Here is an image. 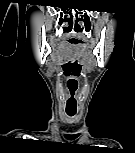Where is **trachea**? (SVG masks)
Segmentation results:
<instances>
[{
  "instance_id": "3493384b",
  "label": "trachea",
  "mask_w": 135,
  "mask_h": 153,
  "mask_svg": "<svg viewBox=\"0 0 135 153\" xmlns=\"http://www.w3.org/2000/svg\"><path fill=\"white\" fill-rule=\"evenodd\" d=\"M75 113H76V112H71V111L69 112V111H67V114H68L69 116H71V117L74 116Z\"/></svg>"
}]
</instances>
